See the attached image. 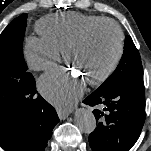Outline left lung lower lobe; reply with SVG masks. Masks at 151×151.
Listing matches in <instances>:
<instances>
[{
    "mask_svg": "<svg viewBox=\"0 0 151 151\" xmlns=\"http://www.w3.org/2000/svg\"><path fill=\"white\" fill-rule=\"evenodd\" d=\"M89 106L102 105L93 111L99 123L89 135L93 151H126L140 136L145 121V95L142 75H133L113 89L93 92L84 101Z\"/></svg>",
    "mask_w": 151,
    "mask_h": 151,
    "instance_id": "1",
    "label": "left lung lower lobe"
}]
</instances>
